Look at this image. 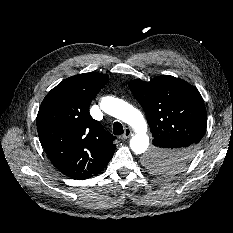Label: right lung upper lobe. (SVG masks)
<instances>
[{
    "label": "right lung upper lobe",
    "mask_w": 233,
    "mask_h": 233,
    "mask_svg": "<svg viewBox=\"0 0 233 233\" xmlns=\"http://www.w3.org/2000/svg\"><path fill=\"white\" fill-rule=\"evenodd\" d=\"M108 80L107 75L94 72L69 77L40 105L39 140L52 164L72 179L98 174L115 152L116 137L89 114L91 101Z\"/></svg>",
    "instance_id": "cb5924a9"
}]
</instances>
